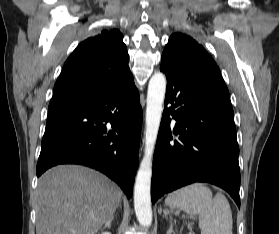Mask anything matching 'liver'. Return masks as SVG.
<instances>
[{
	"mask_svg": "<svg viewBox=\"0 0 279 234\" xmlns=\"http://www.w3.org/2000/svg\"><path fill=\"white\" fill-rule=\"evenodd\" d=\"M122 191L103 174L77 165L45 172L36 191V234H96L116 211Z\"/></svg>",
	"mask_w": 279,
	"mask_h": 234,
	"instance_id": "obj_1",
	"label": "liver"
}]
</instances>
